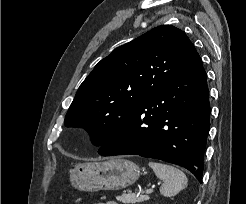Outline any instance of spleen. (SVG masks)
Instances as JSON below:
<instances>
[{
	"mask_svg": "<svg viewBox=\"0 0 246 204\" xmlns=\"http://www.w3.org/2000/svg\"><path fill=\"white\" fill-rule=\"evenodd\" d=\"M149 166L153 169L156 177L163 181L160 187L162 195L172 197L187 187V177L180 169L154 161H150Z\"/></svg>",
	"mask_w": 246,
	"mask_h": 204,
	"instance_id": "obj_1",
	"label": "spleen"
}]
</instances>
